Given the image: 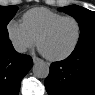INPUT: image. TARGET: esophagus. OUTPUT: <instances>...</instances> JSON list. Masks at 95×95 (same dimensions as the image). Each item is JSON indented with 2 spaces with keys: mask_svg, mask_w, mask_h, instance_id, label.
<instances>
[{
  "mask_svg": "<svg viewBox=\"0 0 95 95\" xmlns=\"http://www.w3.org/2000/svg\"><path fill=\"white\" fill-rule=\"evenodd\" d=\"M40 61H41L40 58H38V57H36V56L33 57V62H34V63H37V62H40Z\"/></svg>",
  "mask_w": 95,
  "mask_h": 95,
  "instance_id": "obj_1",
  "label": "esophagus"
}]
</instances>
